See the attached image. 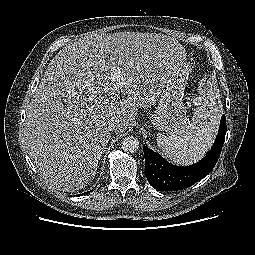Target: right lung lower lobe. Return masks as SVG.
<instances>
[{
	"mask_svg": "<svg viewBox=\"0 0 255 255\" xmlns=\"http://www.w3.org/2000/svg\"><path fill=\"white\" fill-rule=\"evenodd\" d=\"M88 192H86V193H83L82 195H84V194H87Z\"/></svg>",
	"mask_w": 255,
	"mask_h": 255,
	"instance_id": "98d812e1",
	"label": "right lung lower lobe"
}]
</instances>
